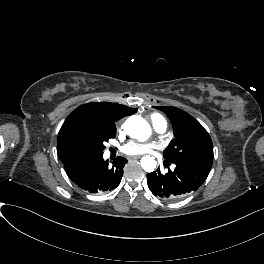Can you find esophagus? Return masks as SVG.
<instances>
[{
  "instance_id": "1",
  "label": "esophagus",
  "mask_w": 264,
  "mask_h": 264,
  "mask_svg": "<svg viewBox=\"0 0 264 264\" xmlns=\"http://www.w3.org/2000/svg\"><path fill=\"white\" fill-rule=\"evenodd\" d=\"M129 158H131V159H136V158H137V156H135V155H132V156H130Z\"/></svg>"
}]
</instances>
